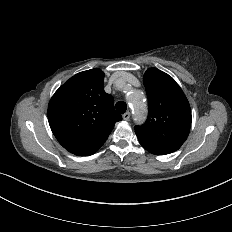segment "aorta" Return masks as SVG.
<instances>
[{"mask_svg":"<svg viewBox=\"0 0 232 232\" xmlns=\"http://www.w3.org/2000/svg\"><path fill=\"white\" fill-rule=\"evenodd\" d=\"M127 100L132 104L135 120L142 122L146 113V103L143 94L139 91H134L127 97Z\"/></svg>","mask_w":232,"mask_h":232,"instance_id":"aorta-1","label":"aorta"}]
</instances>
